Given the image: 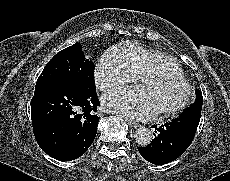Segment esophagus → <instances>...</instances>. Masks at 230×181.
I'll use <instances>...</instances> for the list:
<instances>
[{
    "instance_id": "obj_1",
    "label": "esophagus",
    "mask_w": 230,
    "mask_h": 181,
    "mask_svg": "<svg viewBox=\"0 0 230 181\" xmlns=\"http://www.w3.org/2000/svg\"><path fill=\"white\" fill-rule=\"evenodd\" d=\"M126 121L128 122V124L130 125V127H134V128H137L140 126V124L136 123V122H133V121H130L128 119H126Z\"/></svg>"
}]
</instances>
